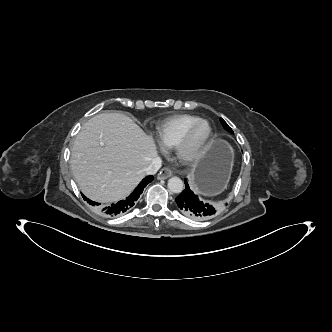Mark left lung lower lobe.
I'll return each instance as SVG.
<instances>
[{
    "label": "left lung lower lobe",
    "mask_w": 332,
    "mask_h": 332,
    "mask_svg": "<svg viewBox=\"0 0 332 332\" xmlns=\"http://www.w3.org/2000/svg\"><path fill=\"white\" fill-rule=\"evenodd\" d=\"M180 211L187 217L204 221L216 214V206L206 203L190 190L185 180V190L175 199Z\"/></svg>",
    "instance_id": "0a47b994"
}]
</instances>
